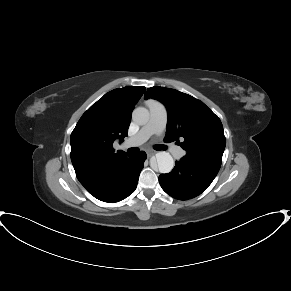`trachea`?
Masks as SVG:
<instances>
[{
  "mask_svg": "<svg viewBox=\"0 0 291 291\" xmlns=\"http://www.w3.org/2000/svg\"><path fill=\"white\" fill-rule=\"evenodd\" d=\"M157 150H165V146L164 145H157L156 146ZM138 149L137 148H130L128 149V152H131V153H134V152H137Z\"/></svg>",
  "mask_w": 291,
  "mask_h": 291,
  "instance_id": "obj_1",
  "label": "trachea"
}]
</instances>
